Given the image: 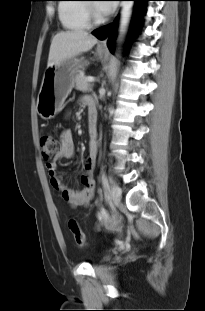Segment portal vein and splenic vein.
<instances>
[{
	"instance_id": "portal-vein-and-splenic-vein-1",
	"label": "portal vein and splenic vein",
	"mask_w": 205,
	"mask_h": 311,
	"mask_svg": "<svg viewBox=\"0 0 205 311\" xmlns=\"http://www.w3.org/2000/svg\"><path fill=\"white\" fill-rule=\"evenodd\" d=\"M87 81H88V82H94V81H95V78H94V77L89 76V77H87Z\"/></svg>"
}]
</instances>
